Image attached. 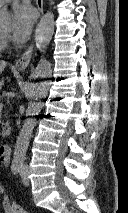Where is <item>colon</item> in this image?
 I'll return each mask as SVG.
<instances>
[{
  "instance_id": "1",
  "label": "colon",
  "mask_w": 128,
  "mask_h": 213,
  "mask_svg": "<svg viewBox=\"0 0 128 213\" xmlns=\"http://www.w3.org/2000/svg\"><path fill=\"white\" fill-rule=\"evenodd\" d=\"M9 209L11 213H29L12 200H10Z\"/></svg>"
}]
</instances>
